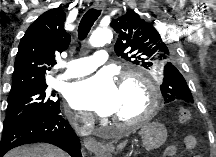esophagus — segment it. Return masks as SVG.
Here are the masks:
<instances>
[{
	"label": "esophagus",
	"mask_w": 216,
	"mask_h": 157,
	"mask_svg": "<svg viewBox=\"0 0 216 157\" xmlns=\"http://www.w3.org/2000/svg\"><path fill=\"white\" fill-rule=\"evenodd\" d=\"M92 7L97 8V9H101L105 7V2L102 0H98L96 2H94V4L92 5ZM86 147L91 150V151H104L106 149V146L101 144L100 142H98L96 139L94 138H87L84 140Z\"/></svg>",
	"instance_id": "esophagus-1"
}]
</instances>
